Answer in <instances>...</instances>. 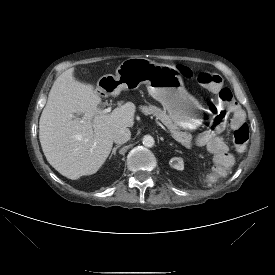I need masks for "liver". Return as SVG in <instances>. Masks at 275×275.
Instances as JSON below:
<instances>
[{
    "label": "liver",
    "instance_id": "1",
    "mask_svg": "<svg viewBox=\"0 0 275 275\" xmlns=\"http://www.w3.org/2000/svg\"><path fill=\"white\" fill-rule=\"evenodd\" d=\"M74 73L70 68L55 80L40 117L39 139L49 164L76 180L96 173L105 163L114 132L133 127L136 107L126 102L104 113L97 89L78 81Z\"/></svg>",
    "mask_w": 275,
    "mask_h": 275
}]
</instances>
